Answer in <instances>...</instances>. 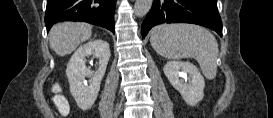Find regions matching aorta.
<instances>
[{"mask_svg": "<svg viewBox=\"0 0 273 118\" xmlns=\"http://www.w3.org/2000/svg\"><path fill=\"white\" fill-rule=\"evenodd\" d=\"M152 6V0H136L134 13L137 17H144Z\"/></svg>", "mask_w": 273, "mask_h": 118, "instance_id": "aorta-1", "label": "aorta"}]
</instances>
